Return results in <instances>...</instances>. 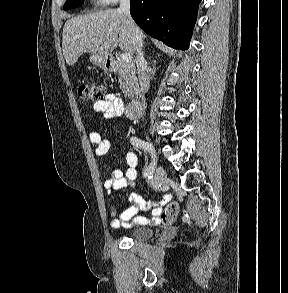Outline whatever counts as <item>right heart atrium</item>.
I'll list each match as a JSON object with an SVG mask.
<instances>
[{
  "label": "right heart atrium",
  "mask_w": 288,
  "mask_h": 293,
  "mask_svg": "<svg viewBox=\"0 0 288 293\" xmlns=\"http://www.w3.org/2000/svg\"><path fill=\"white\" fill-rule=\"evenodd\" d=\"M104 4H113L118 2L119 0H100Z\"/></svg>",
  "instance_id": "1"
}]
</instances>
